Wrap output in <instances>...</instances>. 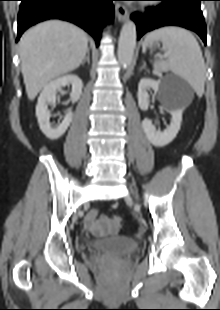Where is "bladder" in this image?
Listing matches in <instances>:
<instances>
[{
  "instance_id": "obj_1",
  "label": "bladder",
  "mask_w": 220,
  "mask_h": 310,
  "mask_svg": "<svg viewBox=\"0 0 220 310\" xmlns=\"http://www.w3.org/2000/svg\"><path fill=\"white\" fill-rule=\"evenodd\" d=\"M91 247L106 255L122 257L134 253L138 248V244L131 238H116L97 240Z\"/></svg>"
}]
</instances>
